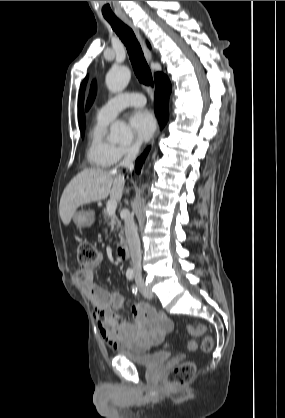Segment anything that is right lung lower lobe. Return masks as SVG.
Listing matches in <instances>:
<instances>
[{"label": "right lung lower lobe", "instance_id": "right-lung-lower-lobe-1", "mask_svg": "<svg viewBox=\"0 0 285 418\" xmlns=\"http://www.w3.org/2000/svg\"><path fill=\"white\" fill-rule=\"evenodd\" d=\"M172 87L171 83L166 75H163L162 73L159 74L157 82H156V88H155V112L156 116L158 118V122L161 126V128L164 127V125L167 123L168 116H169V110H168V101L169 96L171 93ZM149 148L145 150V152L136 160L135 169L136 172L139 173L140 169L142 167V162L145 160Z\"/></svg>", "mask_w": 285, "mask_h": 418}]
</instances>
